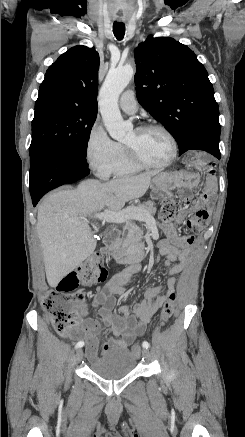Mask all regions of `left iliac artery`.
I'll return each instance as SVG.
<instances>
[{
  "instance_id": "left-iliac-artery-1",
  "label": "left iliac artery",
  "mask_w": 245,
  "mask_h": 437,
  "mask_svg": "<svg viewBox=\"0 0 245 437\" xmlns=\"http://www.w3.org/2000/svg\"><path fill=\"white\" fill-rule=\"evenodd\" d=\"M142 346H143V348L148 349L150 345H149V343L147 341H144L142 343Z\"/></svg>"
}]
</instances>
